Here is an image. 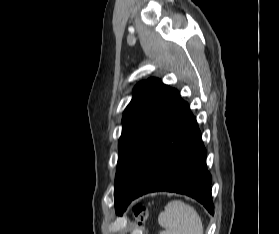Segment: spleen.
I'll return each mask as SVG.
<instances>
[{
    "mask_svg": "<svg viewBox=\"0 0 279 234\" xmlns=\"http://www.w3.org/2000/svg\"><path fill=\"white\" fill-rule=\"evenodd\" d=\"M158 223L165 229L160 234H203V224L196 210L180 200L165 206Z\"/></svg>",
    "mask_w": 279,
    "mask_h": 234,
    "instance_id": "obj_1",
    "label": "spleen"
}]
</instances>
